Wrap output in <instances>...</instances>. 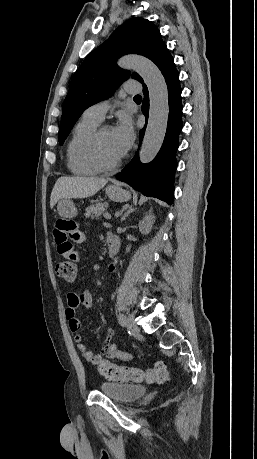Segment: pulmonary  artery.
I'll list each match as a JSON object with an SVG mask.
<instances>
[{
  "mask_svg": "<svg viewBox=\"0 0 257 459\" xmlns=\"http://www.w3.org/2000/svg\"><path fill=\"white\" fill-rule=\"evenodd\" d=\"M134 81H128L125 84L124 90L128 94H136L139 92V89L133 87L131 84H134ZM110 104L109 101H101L90 106L86 111L85 115L91 117L99 122H101L105 116L106 111L108 110Z\"/></svg>",
  "mask_w": 257,
  "mask_h": 459,
  "instance_id": "e3ab8cb5",
  "label": "pulmonary artery"
}]
</instances>
